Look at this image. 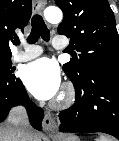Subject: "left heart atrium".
I'll return each instance as SVG.
<instances>
[{"instance_id":"left-heart-atrium-1","label":"left heart atrium","mask_w":119,"mask_h":141,"mask_svg":"<svg viewBox=\"0 0 119 141\" xmlns=\"http://www.w3.org/2000/svg\"><path fill=\"white\" fill-rule=\"evenodd\" d=\"M22 79L28 90L38 99H51L60 91V70L49 58H41L28 64L23 70Z\"/></svg>"}]
</instances>
